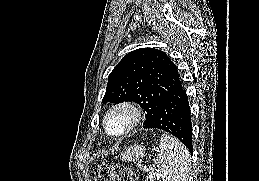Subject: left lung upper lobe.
<instances>
[{
  "instance_id": "5c2ea615",
  "label": "left lung upper lobe",
  "mask_w": 259,
  "mask_h": 181,
  "mask_svg": "<svg viewBox=\"0 0 259 181\" xmlns=\"http://www.w3.org/2000/svg\"><path fill=\"white\" fill-rule=\"evenodd\" d=\"M179 80L177 67L166 53L154 48L136 49L124 56L109 74L102 101L138 103L146 112L145 126Z\"/></svg>"
}]
</instances>
